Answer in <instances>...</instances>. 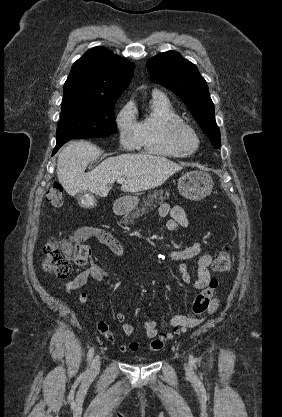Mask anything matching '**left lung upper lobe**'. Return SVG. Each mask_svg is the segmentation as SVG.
<instances>
[{
	"instance_id": "obj_1",
	"label": "left lung upper lobe",
	"mask_w": 282,
	"mask_h": 417,
	"mask_svg": "<svg viewBox=\"0 0 282 417\" xmlns=\"http://www.w3.org/2000/svg\"><path fill=\"white\" fill-rule=\"evenodd\" d=\"M150 80L173 91L188 106L214 148H220V131L214 118V105L208 86L197 67L174 51L149 59Z\"/></svg>"
}]
</instances>
